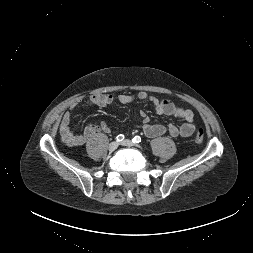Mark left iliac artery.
I'll list each match as a JSON object with an SVG mask.
<instances>
[{
  "label": "left iliac artery",
  "mask_w": 253,
  "mask_h": 253,
  "mask_svg": "<svg viewBox=\"0 0 253 253\" xmlns=\"http://www.w3.org/2000/svg\"><path fill=\"white\" fill-rule=\"evenodd\" d=\"M132 142L133 143H136V144H138V143H140L141 142V137L140 136H135L133 139H132Z\"/></svg>",
  "instance_id": "obj_1"
}]
</instances>
